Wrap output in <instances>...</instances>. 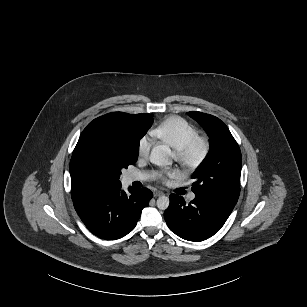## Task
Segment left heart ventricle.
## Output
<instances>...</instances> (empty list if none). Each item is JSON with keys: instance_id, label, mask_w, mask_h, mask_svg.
Instances as JSON below:
<instances>
[{"instance_id": "b2bd125f", "label": "left heart ventricle", "mask_w": 307, "mask_h": 307, "mask_svg": "<svg viewBox=\"0 0 307 307\" xmlns=\"http://www.w3.org/2000/svg\"><path fill=\"white\" fill-rule=\"evenodd\" d=\"M173 160L175 159L174 155L172 154Z\"/></svg>"}]
</instances>
